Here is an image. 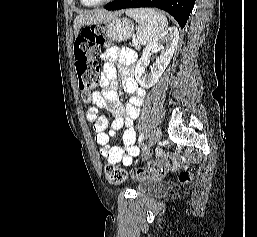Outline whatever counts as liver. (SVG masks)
Returning <instances> with one entry per match:
<instances>
[{
    "label": "liver",
    "instance_id": "6515ba94",
    "mask_svg": "<svg viewBox=\"0 0 257 237\" xmlns=\"http://www.w3.org/2000/svg\"><path fill=\"white\" fill-rule=\"evenodd\" d=\"M122 12L107 13L105 11L97 10L87 13L79 14L74 20V34L78 35L80 28L86 24L108 22L117 18Z\"/></svg>",
    "mask_w": 257,
    "mask_h": 237
}]
</instances>
